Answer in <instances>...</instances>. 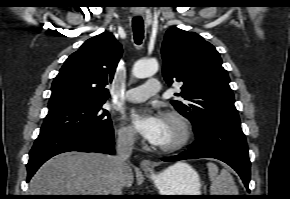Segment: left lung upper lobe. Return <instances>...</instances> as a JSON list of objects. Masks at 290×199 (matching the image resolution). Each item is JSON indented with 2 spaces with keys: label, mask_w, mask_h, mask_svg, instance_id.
<instances>
[{
  "label": "left lung upper lobe",
  "mask_w": 290,
  "mask_h": 199,
  "mask_svg": "<svg viewBox=\"0 0 290 199\" xmlns=\"http://www.w3.org/2000/svg\"><path fill=\"white\" fill-rule=\"evenodd\" d=\"M163 76L168 85H182L171 103L195 128L207 122L240 126L229 76L213 45L179 28L166 32L162 44Z\"/></svg>",
  "instance_id": "left-lung-upper-lobe-1"
}]
</instances>
